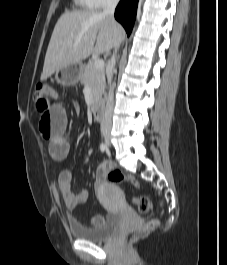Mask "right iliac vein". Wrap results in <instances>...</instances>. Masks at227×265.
Here are the masks:
<instances>
[{
    "instance_id": "right-iliac-vein-1",
    "label": "right iliac vein",
    "mask_w": 227,
    "mask_h": 265,
    "mask_svg": "<svg viewBox=\"0 0 227 265\" xmlns=\"http://www.w3.org/2000/svg\"><path fill=\"white\" fill-rule=\"evenodd\" d=\"M110 134L108 132H105L104 133V140H105V143L109 146L110 145Z\"/></svg>"
}]
</instances>
